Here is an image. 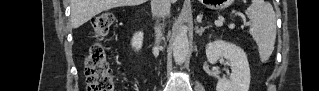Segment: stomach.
Instances as JSON below:
<instances>
[{
  "label": "stomach",
  "instance_id": "stomach-1",
  "mask_svg": "<svg viewBox=\"0 0 319 91\" xmlns=\"http://www.w3.org/2000/svg\"><path fill=\"white\" fill-rule=\"evenodd\" d=\"M212 3H207V1H205L206 4H208L209 7L211 8H216V9H222L225 7V2L224 1H211Z\"/></svg>",
  "mask_w": 319,
  "mask_h": 91
}]
</instances>
